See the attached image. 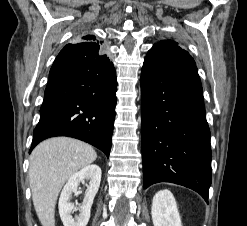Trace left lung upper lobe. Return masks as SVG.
<instances>
[{"mask_svg": "<svg viewBox=\"0 0 247 226\" xmlns=\"http://www.w3.org/2000/svg\"><path fill=\"white\" fill-rule=\"evenodd\" d=\"M155 45H171V46H179L178 43L172 41V40H163V41H160L158 42L157 44Z\"/></svg>", "mask_w": 247, "mask_h": 226, "instance_id": "left-lung-upper-lobe-1", "label": "left lung upper lobe"}]
</instances>
